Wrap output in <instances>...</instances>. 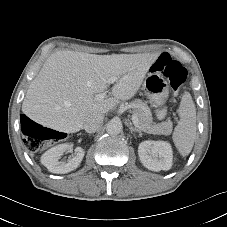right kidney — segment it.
<instances>
[{
  "instance_id": "right-kidney-1",
  "label": "right kidney",
  "mask_w": 227,
  "mask_h": 227,
  "mask_svg": "<svg viewBox=\"0 0 227 227\" xmlns=\"http://www.w3.org/2000/svg\"><path fill=\"white\" fill-rule=\"evenodd\" d=\"M72 143L59 144L48 151L41 157V163L52 173L65 174L76 169L84 157V149L77 147L71 158L60 160L66 149L72 148Z\"/></svg>"
}]
</instances>
